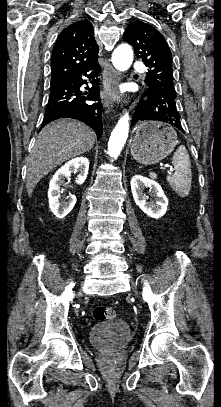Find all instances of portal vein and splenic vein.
<instances>
[{
  "mask_svg": "<svg viewBox=\"0 0 221 407\" xmlns=\"http://www.w3.org/2000/svg\"><path fill=\"white\" fill-rule=\"evenodd\" d=\"M161 169L167 170V172H168L169 174H172V173H173V169H168V168H166V167H164V166H161Z\"/></svg>",
  "mask_w": 221,
  "mask_h": 407,
  "instance_id": "1",
  "label": "portal vein and splenic vein"
}]
</instances>
